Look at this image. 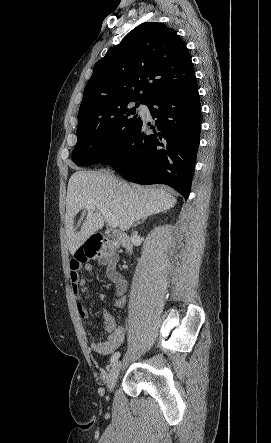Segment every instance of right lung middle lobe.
I'll return each mask as SVG.
<instances>
[{
  "mask_svg": "<svg viewBox=\"0 0 271 443\" xmlns=\"http://www.w3.org/2000/svg\"><path fill=\"white\" fill-rule=\"evenodd\" d=\"M138 106V103L135 107L125 104L102 117L78 119L73 162L93 165L109 161L127 136L141 124V118L135 115Z\"/></svg>",
  "mask_w": 271,
  "mask_h": 443,
  "instance_id": "dd1d6c3e",
  "label": "right lung middle lobe"
}]
</instances>
